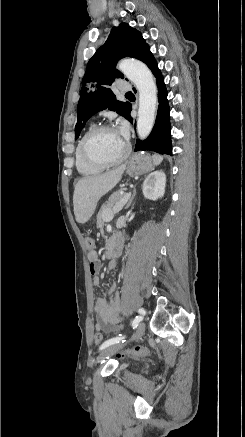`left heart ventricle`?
<instances>
[{
  "mask_svg": "<svg viewBox=\"0 0 245 437\" xmlns=\"http://www.w3.org/2000/svg\"><path fill=\"white\" fill-rule=\"evenodd\" d=\"M126 149V141L116 129L98 134L90 143L91 153L103 160L119 158Z\"/></svg>",
  "mask_w": 245,
  "mask_h": 437,
  "instance_id": "left-heart-ventricle-1",
  "label": "left heart ventricle"
}]
</instances>
